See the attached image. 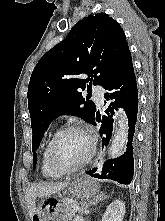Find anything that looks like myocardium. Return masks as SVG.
<instances>
[{"label":"myocardium","mask_w":165,"mask_h":221,"mask_svg":"<svg viewBox=\"0 0 165 221\" xmlns=\"http://www.w3.org/2000/svg\"><path fill=\"white\" fill-rule=\"evenodd\" d=\"M70 131H79L84 133L90 143V149L88 154L86 155V157L77 165L70 167V168H62L60 166H58L54 160V146L57 142V140L64 135L67 132ZM96 153V141L94 139V137L92 136V134L82 125L79 124H70L67 126H64L62 128H60L54 135L53 137L50 139L49 144H48V148H47V158H48V162L50 167L57 173L59 174H70L73 172H76L80 169H82L84 166H86L94 157Z\"/></svg>","instance_id":"obj_1"}]
</instances>
